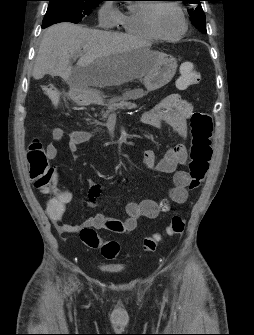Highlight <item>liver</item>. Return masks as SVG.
<instances>
[{
    "label": "liver",
    "mask_w": 254,
    "mask_h": 335,
    "mask_svg": "<svg viewBox=\"0 0 254 335\" xmlns=\"http://www.w3.org/2000/svg\"><path fill=\"white\" fill-rule=\"evenodd\" d=\"M148 46L132 35L58 23L44 31L33 76H59L81 89L118 86L152 68L155 58ZM74 57H79L76 67L71 64Z\"/></svg>",
    "instance_id": "obj_1"
}]
</instances>
